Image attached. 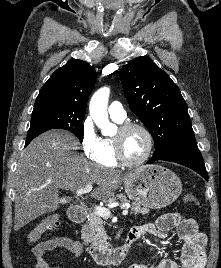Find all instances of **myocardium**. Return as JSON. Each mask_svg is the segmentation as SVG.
<instances>
[{
	"label": "myocardium",
	"mask_w": 221,
	"mask_h": 268,
	"mask_svg": "<svg viewBox=\"0 0 221 268\" xmlns=\"http://www.w3.org/2000/svg\"><path fill=\"white\" fill-rule=\"evenodd\" d=\"M130 129H139L145 134L147 139V148L144 155L140 159L135 161L127 159L123 154L121 142L118 137H113L114 153L118 163L127 167H136L145 163L151 156L154 148V138L151 131L145 125L137 122L123 123L122 125H120L118 131L119 133H124Z\"/></svg>",
	"instance_id": "obj_1"
}]
</instances>
